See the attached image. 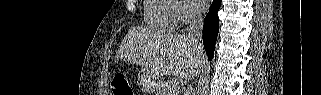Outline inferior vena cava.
Listing matches in <instances>:
<instances>
[{"label": "inferior vena cava", "instance_id": "inferior-vena-cava-1", "mask_svg": "<svg viewBox=\"0 0 321 95\" xmlns=\"http://www.w3.org/2000/svg\"><path fill=\"white\" fill-rule=\"evenodd\" d=\"M203 18L201 13L191 11L189 14L188 37L198 50H203L202 44ZM193 88L189 85L184 95H192Z\"/></svg>", "mask_w": 321, "mask_h": 95}]
</instances>
